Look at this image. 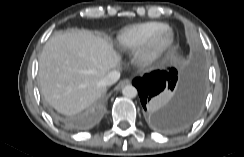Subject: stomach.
<instances>
[{
  "label": "stomach",
  "instance_id": "obj_1",
  "mask_svg": "<svg viewBox=\"0 0 244 157\" xmlns=\"http://www.w3.org/2000/svg\"><path fill=\"white\" fill-rule=\"evenodd\" d=\"M175 61V55L171 50H168L161 61L162 66L171 65Z\"/></svg>",
  "mask_w": 244,
  "mask_h": 157
}]
</instances>
